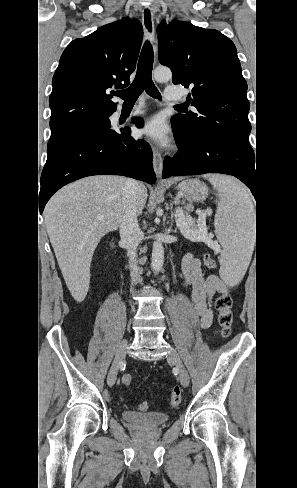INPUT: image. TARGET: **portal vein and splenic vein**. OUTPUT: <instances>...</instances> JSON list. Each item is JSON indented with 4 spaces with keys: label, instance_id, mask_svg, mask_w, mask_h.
I'll return each instance as SVG.
<instances>
[{
    "label": "portal vein and splenic vein",
    "instance_id": "portal-vein-and-splenic-vein-1",
    "mask_svg": "<svg viewBox=\"0 0 297 488\" xmlns=\"http://www.w3.org/2000/svg\"><path fill=\"white\" fill-rule=\"evenodd\" d=\"M180 214L178 216V225H183V226H187L189 227L188 225L192 224L193 223V219L192 217L189 215V213H184L183 210H179ZM211 213V209H208L206 211H201V210H197V214H198V220L201 222V227L204 228V220H205V217L207 214H210ZM103 217L102 216H99L98 219H102Z\"/></svg>",
    "mask_w": 297,
    "mask_h": 488
}]
</instances>
